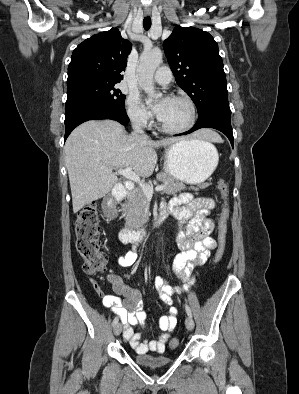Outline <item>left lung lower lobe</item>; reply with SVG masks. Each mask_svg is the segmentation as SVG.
Wrapping results in <instances>:
<instances>
[{"instance_id": "left-lung-lower-lobe-1", "label": "left lung lower lobe", "mask_w": 299, "mask_h": 394, "mask_svg": "<svg viewBox=\"0 0 299 394\" xmlns=\"http://www.w3.org/2000/svg\"><path fill=\"white\" fill-rule=\"evenodd\" d=\"M198 116V120L191 130L177 135L189 134L200 128H214L224 133L230 140L232 147L234 146L230 121L231 110L228 100L211 103L203 111L199 112Z\"/></svg>"}]
</instances>
